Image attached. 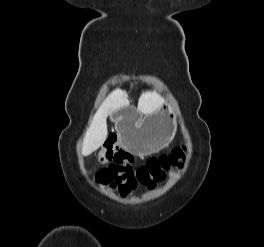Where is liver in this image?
<instances>
[{
	"instance_id": "obj_1",
	"label": "liver",
	"mask_w": 264,
	"mask_h": 247,
	"mask_svg": "<svg viewBox=\"0 0 264 247\" xmlns=\"http://www.w3.org/2000/svg\"><path fill=\"white\" fill-rule=\"evenodd\" d=\"M164 99L156 92L143 93L138 101V110L144 114L158 111L163 105ZM128 95L125 91L116 89L103 102L96 112L89 128L87 129L83 144L82 154L90 155L104 143L107 137L106 118L114 111L129 105Z\"/></svg>"
}]
</instances>
